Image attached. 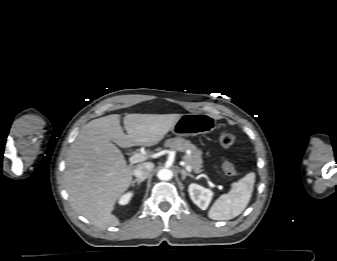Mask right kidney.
I'll return each instance as SVG.
<instances>
[{
	"instance_id": "obj_1",
	"label": "right kidney",
	"mask_w": 337,
	"mask_h": 261,
	"mask_svg": "<svg viewBox=\"0 0 337 261\" xmlns=\"http://www.w3.org/2000/svg\"><path fill=\"white\" fill-rule=\"evenodd\" d=\"M132 195H133V194H132L131 192H129V193L123 195V196L120 198L119 203H120L121 205L127 204V203L130 201Z\"/></svg>"
}]
</instances>
